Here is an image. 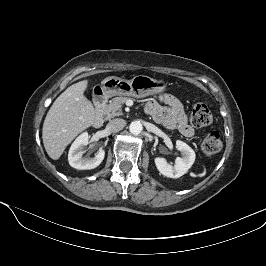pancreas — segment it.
<instances>
[{"label":"pancreas","mask_w":266,"mask_h":266,"mask_svg":"<svg viewBox=\"0 0 266 266\" xmlns=\"http://www.w3.org/2000/svg\"><path fill=\"white\" fill-rule=\"evenodd\" d=\"M130 97L120 96L115 97L109 101L108 104L103 105L102 112L106 116L107 119L114 118L116 116L122 115V105L128 100Z\"/></svg>","instance_id":"obj_1"}]
</instances>
